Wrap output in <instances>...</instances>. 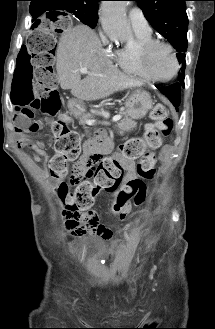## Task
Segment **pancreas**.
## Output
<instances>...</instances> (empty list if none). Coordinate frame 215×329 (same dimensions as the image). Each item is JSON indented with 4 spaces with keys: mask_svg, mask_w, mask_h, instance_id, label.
<instances>
[{
    "mask_svg": "<svg viewBox=\"0 0 215 329\" xmlns=\"http://www.w3.org/2000/svg\"><path fill=\"white\" fill-rule=\"evenodd\" d=\"M120 114L124 115V118L118 123V128L120 133L124 134L125 132H129L133 130V128L136 127L137 123L132 119L128 118V116L124 112H120ZM78 118H79V124L85 125L86 120L91 119L92 115L89 113H83Z\"/></svg>",
    "mask_w": 215,
    "mask_h": 329,
    "instance_id": "pancreas-1",
    "label": "pancreas"
}]
</instances>
